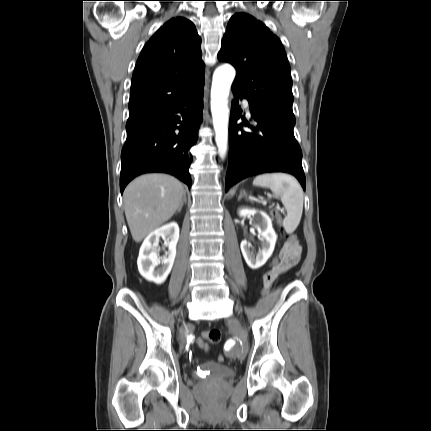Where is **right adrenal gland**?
Returning <instances> with one entry per match:
<instances>
[{
    "label": "right adrenal gland",
    "instance_id": "right-adrenal-gland-1",
    "mask_svg": "<svg viewBox=\"0 0 431 431\" xmlns=\"http://www.w3.org/2000/svg\"><path fill=\"white\" fill-rule=\"evenodd\" d=\"M186 202H187V200H186V193H184V194H183V199H182V201H181V203H180V206H179V208H178V212H180V211H181V209H182V207H183V204H184V203L186 204Z\"/></svg>",
    "mask_w": 431,
    "mask_h": 431
}]
</instances>
